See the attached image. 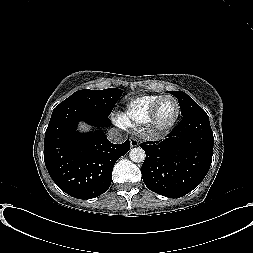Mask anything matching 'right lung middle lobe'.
<instances>
[{"mask_svg": "<svg viewBox=\"0 0 253 253\" xmlns=\"http://www.w3.org/2000/svg\"><path fill=\"white\" fill-rule=\"evenodd\" d=\"M118 88L105 90H79L61 102L58 106H83L92 111L108 116L122 95Z\"/></svg>", "mask_w": 253, "mask_h": 253, "instance_id": "1", "label": "right lung middle lobe"}]
</instances>
